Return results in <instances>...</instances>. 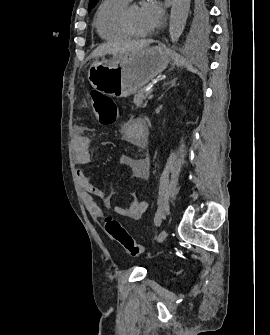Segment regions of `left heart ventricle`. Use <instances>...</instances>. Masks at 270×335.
Returning a JSON list of instances; mask_svg holds the SVG:
<instances>
[{
	"instance_id": "b2bd125f",
	"label": "left heart ventricle",
	"mask_w": 270,
	"mask_h": 335,
	"mask_svg": "<svg viewBox=\"0 0 270 335\" xmlns=\"http://www.w3.org/2000/svg\"><path fill=\"white\" fill-rule=\"evenodd\" d=\"M128 23L135 33L141 34L143 32L142 20H141V8L136 4L129 7L128 10Z\"/></svg>"
}]
</instances>
